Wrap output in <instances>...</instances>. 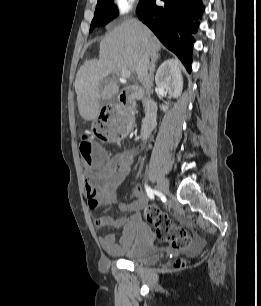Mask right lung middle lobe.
I'll list each match as a JSON object with an SVG mask.
<instances>
[{
  "mask_svg": "<svg viewBox=\"0 0 261 306\" xmlns=\"http://www.w3.org/2000/svg\"><path fill=\"white\" fill-rule=\"evenodd\" d=\"M143 0H140V2ZM118 15L113 0H98L90 31L97 26H104Z\"/></svg>",
  "mask_w": 261,
  "mask_h": 306,
  "instance_id": "1",
  "label": "right lung middle lobe"
}]
</instances>
